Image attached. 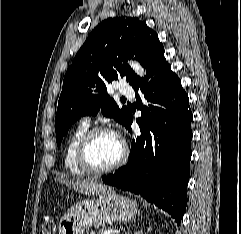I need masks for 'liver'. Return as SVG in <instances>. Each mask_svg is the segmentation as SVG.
Returning a JSON list of instances; mask_svg holds the SVG:
<instances>
[{
    "instance_id": "liver-1",
    "label": "liver",
    "mask_w": 241,
    "mask_h": 234,
    "mask_svg": "<svg viewBox=\"0 0 241 234\" xmlns=\"http://www.w3.org/2000/svg\"><path fill=\"white\" fill-rule=\"evenodd\" d=\"M55 181L69 188H72L76 192L88 195H102L106 193L108 190H111L107 185L94 179L80 180L56 177Z\"/></svg>"
}]
</instances>
